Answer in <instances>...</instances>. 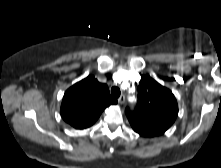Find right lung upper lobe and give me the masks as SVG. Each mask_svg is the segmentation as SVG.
<instances>
[{
	"label": "right lung upper lobe",
	"instance_id": "cb5924a9",
	"mask_svg": "<svg viewBox=\"0 0 221 168\" xmlns=\"http://www.w3.org/2000/svg\"><path fill=\"white\" fill-rule=\"evenodd\" d=\"M116 103L108 86L90 75L65 92L60 113L72 127L84 129L92 126L105 108Z\"/></svg>",
	"mask_w": 221,
	"mask_h": 168
}]
</instances>
